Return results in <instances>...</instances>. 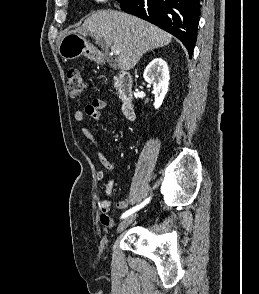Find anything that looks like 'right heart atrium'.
I'll return each mask as SVG.
<instances>
[{
	"instance_id": "d8ad5b80",
	"label": "right heart atrium",
	"mask_w": 259,
	"mask_h": 294,
	"mask_svg": "<svg viewBox=\"0 0 259 294\" xmlns=\"http://www.w3.org/2000/svg\"><path fill=\"white\" fill-rule=\"evenodd\" d=\"M95 3H103V2H105V1H107V0H93Z\"/></svg>"
}]
</instances>
